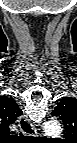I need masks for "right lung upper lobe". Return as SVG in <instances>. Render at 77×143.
<instances>
[{
    "instance_id": "cb5924a9",
    "label": "right lung upper lobe",
    "mask_w": 77,
    "mask_h": 143,
    "mask_svg": "<svg viewBox=\"0 0 77 143\" xmlns=\"http://www.w3.org/2000/svg\"><path fill=\"white\" fill-rule=\"evenodd\" d=\"M22 115L17 103L7 97H0V129L9 134V125Z\"/></svg>"
}]
</instances>
